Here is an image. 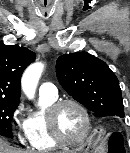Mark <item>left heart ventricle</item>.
Returning a JSON list of instances; mask_svg holds the SVG:
<instances>
[{
	"label": "left heart ventricle",
	"mask_w": 130,
	"mask_h": 153,
	"mask_svg": "<svg viewBox=\"0 0 130 153\" xmlns=\"http://www.w3.org/2000/svg\"><path fill=\"white\" fill-rule=\"evenodd\" d=\"M57 125L61 135L67 139H77L84 131L83 116L72 105H66L59 111Z\"/></svg>",
	"instance_id": "obj_1"
}]
</instances>
